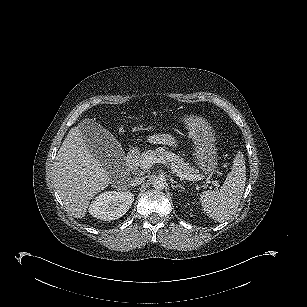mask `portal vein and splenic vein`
<instances>
[{"label": "portal vein and splenic vein", "instance_id": "1", "mask_svg": "<svg viewBox=\"0 0 307 307\" xmlns=\"http://www.w3.org/2000/svg\"><path fill=\"white\" fill-rule=\"evenodd\" d=\"M163 161L162 158H156V157H151V156H148V157H145L141 163V167L143 169H148L150 168L154 163H161ZM171 171L173 173H175L180 179L182 180H201L203 177L205 178V176H199V175H187V174H184L182 173L180 170H177V169H174V168H171ZM207 179V181L209 183H212L216 188L219 187V184L214 181L213 179H210L209 177L205 178Z\"/></svg>", "mask_w": 307, "mask_h": 307}]
</instances>
